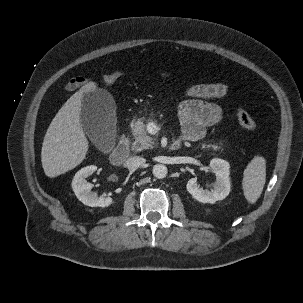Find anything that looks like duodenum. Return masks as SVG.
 Wrapping results in <instances>:
<instances>
[{
    "instance_id": "410a0bca",
    "label": "duodenum",
    "mask_w": 303,
    "mask_h": 303,
    "mask_svg": "<svg viewBox=\"0 0 303 303\" xmlns=\"http://www.w3.org/2000/svg\"><path fill=\"white\" fill-rule=\"evenodd\" d=\"M181 146L180 141L172 144L173 149H179ZM129 155V144L126 139H122L119 144L110 153V161L114 165H121Z\"/></svg>"
}]
</instances>
